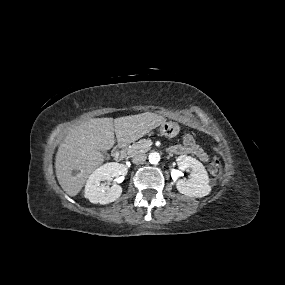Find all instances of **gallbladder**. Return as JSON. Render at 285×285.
Segmentation results:
<instances>
[{
	"instance_id": "obj_1",
	"label": "gallbladder",
	"mask_w": 285,
	"mask_h": 285,
	"mask_svg": "<svg viewBox=\"0 0 285 285\" xmlns=\"http://www.w3.org/2000/svg\"><path fill=\"white\" fill-rule=\"evenodd\" d=\"M103 157L109 159V154L106 151H102Z\"/></svg>"
}]
</instances>
